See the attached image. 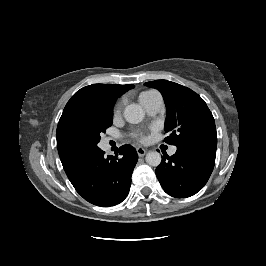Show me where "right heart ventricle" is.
<instances>
[{
  "label": "right heart ventricle",
  "mask_w": 266,
  "mask_h": 266,
  "mask_svg": "<svg viewBox=\"0 0 266 266\" xmlns=\"http://www.w3.org/2000/svg\"><path fill=\"white\" fill-rule=\"evenodd\" d=\"M153 93H155V92H154V91L143 92V93L140 95V97H139L140 101L143 100L146 96H149V95H151V94H153Z\"/></svg>",
  "instance_id": "obj_1"
}]
</instances>
